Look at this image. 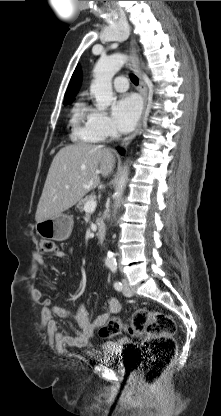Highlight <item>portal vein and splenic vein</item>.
<instances>
[{
	"label": "portal vein and splenic vein",
	"mask_w": 221,
	"mask_h": 416,
	"mask_svg": "<svg viewBox=\"0 0 221 416\" xmlns=\"http://www.w3.org/2000/svg\"><path fill=\"white\" fill-rule=\"evenodd\" d=\"M97 201L95 199H91L84 205L85 212H93L96 209Z\"/></svg>",
	"instance_id": "portal-vein-and-splenic-vein-1"
}]
</instances>
